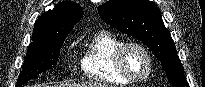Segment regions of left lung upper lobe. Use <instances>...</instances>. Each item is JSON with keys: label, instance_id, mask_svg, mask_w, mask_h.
Masks as SVG:
<instances>
[{"label": "left lung upper lobe", "instance_id": "5c2ea615", "mask_svg": "<svg viewBox=\"0 0 205 87\" xmlns=\"http://www.w3.org/2000/svg\"><path fill=\"white\" fill-rule=\"evenodd\" d=\"M98 13L105 23L146 43L174 86L189 87L170 32L154 2L110 0L98 7Z\"/></svg>", "mask_w": 205, "mask_h": 87}]
</instances>
